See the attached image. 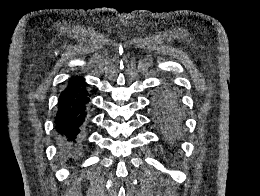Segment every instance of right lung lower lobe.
<instances>
[{
	"label": "right lung lower lobe",
	"mask_w": 260,
	"mask_h": 196,
	"mask_svg": "<svg viewBox=\"0 0 260 196\" xmlns=\"http://www.w3.org/2000/svg\"><path fill=\"white\" fill-rule=\"evenodd\" d=\"M89 100L86 82L80 76L72 77L60 94L54 123L66 165L74 164L73 157L84 142Z\"/></svg>",
	"instance_id": "obj_1"
}]
</instances>
